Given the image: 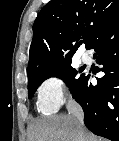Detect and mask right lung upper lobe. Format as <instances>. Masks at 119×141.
I'll return each instance as SVG.
<instances>
[{
  "label": "right lung upper lobe",
  "mask_w": 119,
  "mask_h": 141,
  "mask_svg": "<svg viewBox=\"0 0 119 141\" xmlns=\"http://www.w3.org/2000/svg\"><path fill=\"white\" fill-rule=\"evenodd\" d=\"M115 19L119 0H51L34 22L28 75L68 64L80 39L90 49L103 27Z\"/></svg>",
  "instance_id": "obj_1"
}]
</instances>
